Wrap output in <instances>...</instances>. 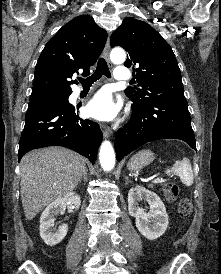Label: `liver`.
Instances as JSON below:
<instances>
[{"label":"liver","mask_w":221,"mask_h":274,"mask_svg":"<svg viewBox=\"0 0 221 274\" xmlns=\"http://www.w3.org/2000/svg\"><path fill=\"white\" fill-rule=\"evenodd\" d=\"M85 169V159L61 147L33 150L20 162L21 200L28 220L72 192Z\"/></svg>","instance_id":"obj_1"}]
</instances>
